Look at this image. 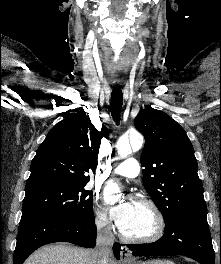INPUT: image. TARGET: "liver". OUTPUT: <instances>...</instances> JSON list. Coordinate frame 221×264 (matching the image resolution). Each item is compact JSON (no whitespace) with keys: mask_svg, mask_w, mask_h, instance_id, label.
<instances>
[{"mask_svg":"<svg viewBox=\"0 0 221 264\" xmlns=\"http://www.w3.org/2000/svg\"><path fill=\"white\" fill-rule=\"evenodd\" d=\"M24 264H97V261L94 250L57 244L40 248ZM108 264L117 263L110 258Z\"/></svg>","mask_w":221,"mask_h":264,"instance_id":"liver-1","label":"liver"}]
</instances>
